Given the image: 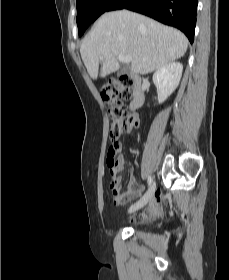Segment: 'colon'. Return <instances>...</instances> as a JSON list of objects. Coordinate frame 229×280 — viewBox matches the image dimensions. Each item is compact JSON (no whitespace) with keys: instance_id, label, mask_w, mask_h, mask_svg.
Segmentation results:
<instances>
[{"instance_id":"5ec220e1","label":"colon","mask_w":229,"mask_h":280,"mask_svg":"<svg viewBox=\"0 0 229 280\" xmlns=\"http://www.w3.org/2000/svg\"><path fill=\"white\" fill-rule=\"evenodd\" d=\"M134 80L125 75L118 80H113L101 87L102 99L109 104L110 114V146L107 153V164L109 169H113L116 160L115 155L120 148V136L130 131L133 121L126 117V111L122 102L131 96Z\"/></svg>"}]
</instances>
